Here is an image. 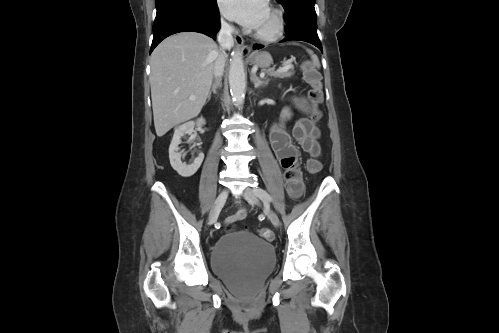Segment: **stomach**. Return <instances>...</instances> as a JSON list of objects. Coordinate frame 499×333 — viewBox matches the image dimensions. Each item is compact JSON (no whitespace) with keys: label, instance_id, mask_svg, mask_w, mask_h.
<instances>
[{"label":"stomach","instance_id":"0dacf381","mask_svg":"<svg viewBox=\"0 0 499 333\" xmlns=\"http://www.w3.org/2000/svg\"><path fill=\"white\" fill-rule=\"evenodd\" d=\"M251 64L266 69L273 63L272 56L266 51L256 52L250 57Z\"/></svg>","mask_w":499,"mask_h":333}]
</instances>
